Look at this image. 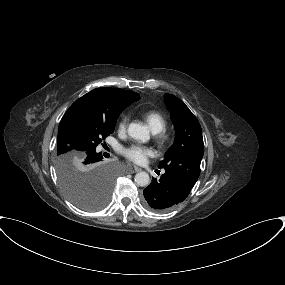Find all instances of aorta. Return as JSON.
<instances>
[{
    "instance_id": "obj_1",
    "label": "aorta",
    "mask_w": 285,
    "mask_h": 285,
    "mask_svg": "<svg viewBox=\"0 0 285 285\" xmlns=\"http://www.w3.org/2000/svg\"><path fill=\"white\" fill-rule=\"evenodd\" d=\"M128 135L135 140L147 142L150 139V132L147 126L140 123H131L128 126ZM150 177L146 172H139L135 175V182L138 186H147Z\"/></svg>"
}]
</instances>
